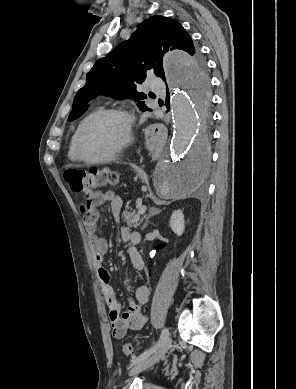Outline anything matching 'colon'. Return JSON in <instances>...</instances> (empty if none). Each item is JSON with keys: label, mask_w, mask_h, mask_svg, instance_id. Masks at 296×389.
I'll use <instances>...</instances> for the list:
<instances>
[{"label": "colon", "mask_w": 296, "mask_h": 389, "mask_svg": "<svg viewBox=\"0 0 296 389\" xmlns=\"http://www.w3.org/2000/svg\"><path fill=\"white\" fill-rule=\"evenodd\" d=\"M64 178L71 190L79 193L89 194L92 188L115 185L118 176L109 169H69L64 173ZM122 352L128 356H134V348L130 343H124Z\"/></svg>", "instance_id": "colon-1"}]
</instances>
